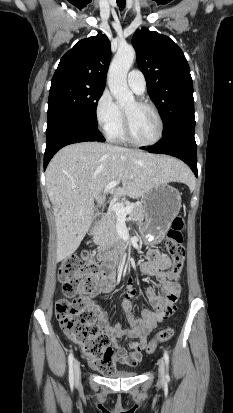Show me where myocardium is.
Segmentation results:
<instances>
[{
	"label": "myocardium",
	"instance_id": "f54148a6",
	"mask_svg": "<svg viewBox=\"0 0 233 413\" xmlns=\"http://www.w3.org/2000/svg\"><path fill=\"white\" fill-rule=\"evenodd\" d=\"M135 102H136L137 105L147 107V108H149L153 111V113L155 114V116L158 120L159 130H158V134H157L156 138L154 140L150 141V142H140V141L136 140L134 138L133 134H132L129 116L124 111L123 112L124 134H125L126 141L129 142L130 144L134 145V146H137V147H151V146H154L162 140L163 135H164V121H163V118L161 116V113L158 110V108L152 102H149V101L143 100V99L136 100Z\"/></svg>",
	"mask_w": 233,
	"mask_h": 413
}]
</instances>
